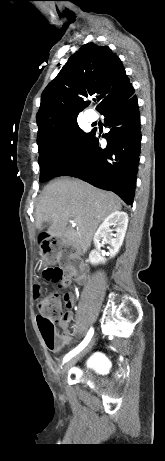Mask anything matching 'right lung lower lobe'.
Masks as SVG:
<instances>
[{
  "instance_id": "1",
  "label": "right lung lower lobe",
  "mask_w": 165,
  "mask_h": 461,
  "mask_svg": "<svg viewBox=\"0 0 165 461\" xmlns=\"http://www.w3.org/2000/svg\"><path fill=\"white\" fill-rule=\"evenodd\" d=\"M101 114L105 117V126L110 128L105 135L106 148H101L96 131H92L83 149L56 177L79 178L133 204L141 143L136 95Z\"/></svg>"
}]
</instances>
